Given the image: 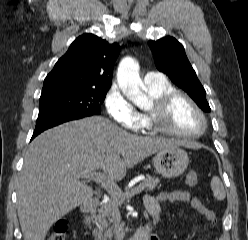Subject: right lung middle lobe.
Instances as JSON below:
<instances>
[{
  "label": "right lung middle lobe",
  "instance_id": "right-lung-middle-lobe-1",
  "mask_svg": "<svg viewBox=\"0 0 248 240\" xmlns=\"http://www.w3.org/2000/svg\"><path fill=\"white\" fill-rule=\"evenodd\" d=\"M108 90L60 88L42 92L38 117L99 115Z\"/></svg>",
  "mask_w": 248,
  "mask_h": 240
}]
</instances>
